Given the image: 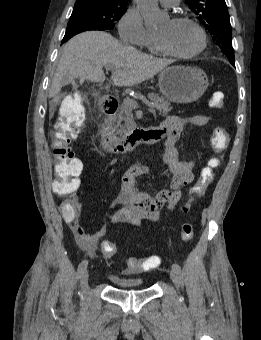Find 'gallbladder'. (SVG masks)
I'll list each match as a JSON object with an SVG mask.
<instances>
[{"label": "gallbladder", "instance_id": "bac80fb5", "mask_svg": "<svg viewBox=\"0 0 261 340\" xmlns=\"http://www.w3.org/2000/svg\"><path fill=\"white\" fill-rule=\"evenodd\" d=\"M70 83L74 85L75 84V80H70L68 84H70Z\"/></svg>", "mask_w": 261, "mask_h": 340}]
</instances>
